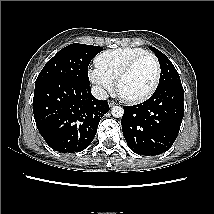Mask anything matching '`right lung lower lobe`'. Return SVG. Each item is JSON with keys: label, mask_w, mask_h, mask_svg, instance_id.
Here are the masks:
<instances>
[{"label": "right lung lower lobe", "mask_w": 214, "mask_h": 214, "mask_svg": "<svg viewBox=\"0 0 214 214\" xmlns=\"http://www.w3.org/2000/svg\"><path fill=\"white\" fill-rule=\"evenodd\" d=\"M109 110L106 100L92 96L90 85L66 79L35 85V122L46 143L56 151L74 153L86 149Z\"/></svg>", "instance_id": "98d812e1"}]
</instances>
